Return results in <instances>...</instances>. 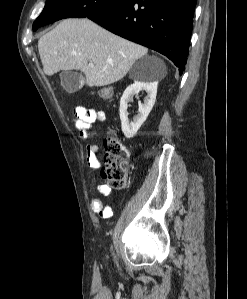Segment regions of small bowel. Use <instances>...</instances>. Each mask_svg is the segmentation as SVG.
Here are the masks:
<instances>
[{"label": "small bowel", "mask_w": 247, "mask_h": 299, "mask_svg": "<svg viewBox=\"0 0 247 299\" xmlns=\"http://www.w3.org/2000/svg\"><path fill=\"white\" fill-rule=\"evenodd\" d=\"M76 119L75 127L79 132L80 138L85 142L91 141V132L95 123L104 122L106 115L103 111H97L93 108H85L78 106L74 110ZM99 146L94 143H89L86 148V161L92 169L100 167L98 159ZM100 196L94 198L91 202L92 210L97 213L101 218L107 219L113 215V210L110 206L105 205L101 196L110 194L111 189L106 184H100L97 187Z\"/></svg>", "instance_id": "1"}]
</instances>
